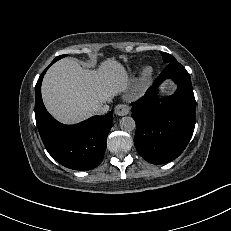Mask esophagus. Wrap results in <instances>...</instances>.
<instances>
[{
	"instance_id": "obj_1",
	"label": "esophagus",
	"mask_w": 231,
	"mask_h": 231,
	"mask_svg": "<svg viewBox=\"0 0 231 231\" xmlns=\"http://www.w3.org/2000/svg\"><path fill=\"white\" fill-rule=\"evenodd\" d=\"M129 113V107L125 104H118L115 107V114L118 116H125Z\"/></svg>"
}]
</instances>
